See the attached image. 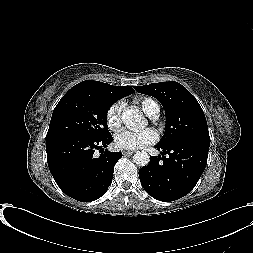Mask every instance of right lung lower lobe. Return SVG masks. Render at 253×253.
<instances>
[{
  "label": "right lung lower lobe",
  "instance_id": "right-lung-lower-lobe-1",
  "mask_svg": "<svg viewBox=\"0 0 253 253\" xmlns=\"http://www.w3.org/2000/svg\"><path fill=\"white\" fill-rule=\"evenodd\" d=\"M69 135L46 141L47 162L57 185L68 196L89 202L100 198L111 185L115 163L122 156L102 148L112 141ZM101 155L96 158L95 150Z\"/></svg>",
  "mask_w": 253,
  "mask_h": 253
}]
</instances>
